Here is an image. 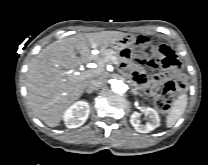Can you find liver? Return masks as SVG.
<instances>
[{"mask_svg":"<svg viewBox=\"0 0 208 165\" xmlns=\"http://www.w3.org/2000/svg\"><path fill=\"white\" fill-rule=\"evenodd\" d=\"M124 36L119 31L76 34L42 49L27 72V99L35 115L50 127L58 126L64 111L80 98L92 80L72 70L97 60L98 53ZM75 50L81 57H77Z\"/></svg>","mask_w":208,"mask_h":165,"instance_id":"liver-1","label":"liver"}]
</instances>
